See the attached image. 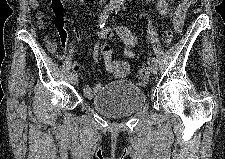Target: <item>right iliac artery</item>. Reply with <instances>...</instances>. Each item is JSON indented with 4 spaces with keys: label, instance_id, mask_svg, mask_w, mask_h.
<instances>
[{
    "label": "right iliac artery",
    "instance_id": "obj_1",
    "mask_svg": "<svg viewBox=\"0 0 225 159\" xmlns=\"http://www.w3.org/2000/svg\"><path fill=\"white\" fill-rule=\"evenodd\" d=\"M115 7L113 6H107L103 10V12L100 15L99 21H98V26L100 28L104 27L106 20L108 19L109 15L113 13ZM74 73H70V76H72Z\"/></svg>",
    "mask_w": 225,
    "mask_h": 159
}]
</instances>
